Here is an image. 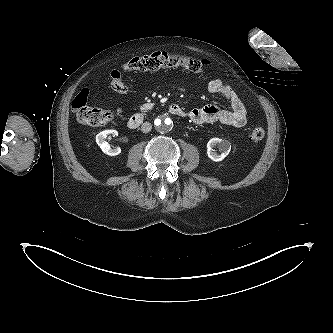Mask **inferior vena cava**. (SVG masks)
Returning a JSON list of instances; mask_svg holds the SVG:
<instances>
[{
    "mask_svg": "<svg viewBox=\"0 0 333 333\" xmlns=\"http://www.w3.org/2000/svg\"><path fill=\"white\" fill-rule=\"evenodd\" d=\"M151 129H152V125L149 122H144L141 126V131L143 133H148L151 131Z\"/></svg>",
    "mask_w": 333,
    "mask_h": 333,
    "instance_id": "1",
    "label": "inferior vena cava"
}]
</instances>
